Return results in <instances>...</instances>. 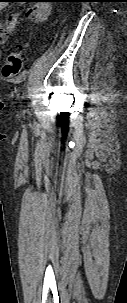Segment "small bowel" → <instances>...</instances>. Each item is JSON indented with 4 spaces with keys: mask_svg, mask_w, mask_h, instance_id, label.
<instances>
[{
    "mask_svg": "<svg viewBox=\"0 0 127 303\" xmlns=\"http://www.w3.org/2000/svg\"><path fill=\"white\" fill-rule=\"evenodd\" d=\"M46 0L36 1L31 5L26 13V17L32 21L44 22L48 19L51 7ZM20 18L17 14H13L5 23L0 21V43L7 41L10 34H12L19 26Z\"/></svg>",
    "mask_w": 127,
    "mask_h": 303,
    "instance_id": "c3829d8e",
    "label": "small bowel"
}]
</instances>
